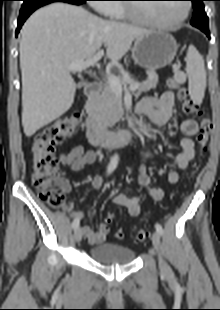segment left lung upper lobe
<instances>
[{"instance_id":"5c2ea615","label":"left lung upper lobe","mask_w":220,"mask_h":310,"mask_svg":"<svg viewBox=\"0 0 220 310\" xmlns=\"http://www.w3.org/2000/svg\"><path fill=\"white\" fill-rule=\"evenodd\" d=\"M192 1L194 14L191 24L197 27L201 31L209 30L208 28V17L204 11L203 1L205 0H190Z\"/></svg>"}]
</instances>
